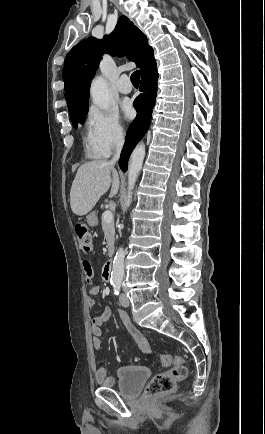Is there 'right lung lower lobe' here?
I'll return each instance as SVG.
<instances>
[{
  "mask_svg": "<svg viewBox=\"0 0 265 434\" xmlns=\"http://www.w3.org/2000/svg\"><path fill=\"white\" fill-rule=\"evenodd\" d=\"M140 73L141 84L139 90L141 91V94L134 101L137 116L129 128L126 143L119 160L120 168L124 172L127 170V162L131 151L147 132L150 125L151 113L156 98L158 79L156 62L153 56L142 64L140 67Z\"/></svg>",
  "mask_w": 265,
  "mask_h": 434,
  "instance_id": "right-lung-lower-lobe-1",
  "label": "right lung lower lobe"
}]
</instances>
